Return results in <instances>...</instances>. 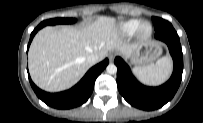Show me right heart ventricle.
<instances>
[{
	"mask_svg": "<svg viewBox=\"0 0 203 123\" xmlns=\"http://www.w3.org/2000/svg\"><path fill=\"white\" fill-rule=\"evenodd\" d=\"M141 22L142 21L138 19H130V20L121 22L118 26V30L121 34L125 36H131L136 33Z\"/></svg>",
	"mask_w": 203,
	"mask_h": 123,
	"instance_id": "obj_1",
	"label": "right heart ventricle"
}]
</instances>
